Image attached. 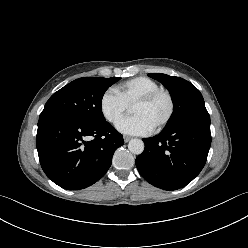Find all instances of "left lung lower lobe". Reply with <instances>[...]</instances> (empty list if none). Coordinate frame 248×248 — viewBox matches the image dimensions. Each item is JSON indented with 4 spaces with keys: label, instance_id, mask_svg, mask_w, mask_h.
Wrapping results in <instances>:
<instances>
[{
    "label": "left lung lower lobe",
    "instance_id": "left-lung-lower-lobe-1",
    "mask_svg": "<svg viewBox=\"0 0 248 248\" xmlns=\"http://www.w3.org/2000/svg\"><path fill=\"white\" fill-rule=\"evenodd\" d=\"M143 141L145 149L136 158L139 173L158 188H182L206 163L211 145L210 116H195Z\"/></svg>",
    "mask_w": 248,
    "mask_h": 248
}]
</instances>
